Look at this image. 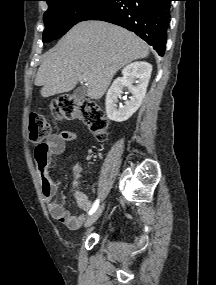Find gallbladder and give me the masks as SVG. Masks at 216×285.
Masks as SVG:
<instances>
[{
	"mask_svg": "<svg viewBox=\"0 0 216 285\" xmlns=\"http://www.w3.org/2000/svg\"><path fill=\"white\" fill-rule=\"evenodd\" d=\"M85 96H86V88L85 87H79L73 93V97L77 101L83 100L85 98Z\"/></svg>",
	"mask_w": 216,
	"mask_h": 285,
	"instance_id": "obj_1",
	"label": "gallbladder"
}]
</instances>
